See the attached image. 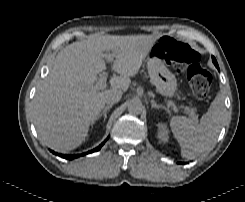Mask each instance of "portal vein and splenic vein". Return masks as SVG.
<instances>
[{"label":"portal vein and splenic vein","instance_id":"18ae733b","mask_svg":"<svg viewBox=\"0 0 245 202\" xmlns=\"http://www.w3.org/2000/svg\"><path fill=\"white\" fill-rule=\"evenodd\" d=\"M115 55H116V53L113 52L112 54H105L104 56H105V58H106L108 61L112 62L113 59H114V57H115ZM106 87H107V78H106V76H102V77L99 78V80H98V82L96 83V85L93 86V89L99 91V90L105 89ZM171 105H172L174 111L177 112V111H178L177 106H176L175 104H171ZM183 112L189 114L193 119H196V118H197V117L195 116L194 111H192V110H191V111H183Z\"/></svg>","mask_w":245,"mask_h":202}]
</instances>
